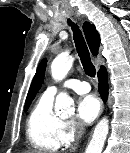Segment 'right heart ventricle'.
I'll return each mask as SVG.
<instances>
[{
  "label": "right heart ventricle",
  "instance_id": "1",
  "mask_svg": "<svg viewBox=\"0 0 130 153\" xmlns=\"http://www.w3.org/2000/svg\"><path fill=\"white\" fill-rule=\"evenodd\" d=\"M53 95L44 92L31 109L26 121V135L31 146L41 152H56L61 144L62 123L53 112Z\"/></svg>",
  "mask_w": 130,
  "mask_h": 153
}]
</instances>
